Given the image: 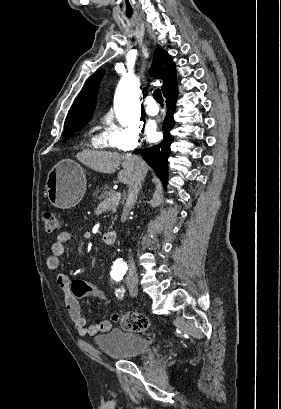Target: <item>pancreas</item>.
Instances as JSON below:
<instances>
[{
	"label": "pancreas",
	"instance_id": "1",
	"mask_svg": "<svg viewBox=\"0 0 281 409\" xmlns=\"http://www.w3.org/2000/svg\"><path fill=\"white\" fill-rule=\"evenodd\" d=\"M97 192H101L100 196H98L99 200H107L108 196L110 193H113L114 190H112V188H110V186H104V190H99V188H97L96 192H94L95 196L97 194ZM114 209L113 213H116V208H111Z\"/></svg>",
	"mask_w": 281,
	"mask_h": 409
}]
</instances>
